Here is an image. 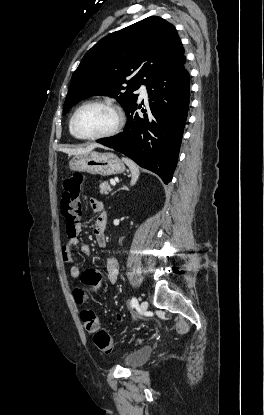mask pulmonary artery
<instances>
[{
    "mask_svg": "<svg viewBox=\"0 0 264 415\" xmlns=\"http://www.w3.org/2000/svg\"><path fill=\"white\" fill-rule=\"evenodd\" d=\"M138 92H139L140 98H145L147 96V89L144 85L140 86V88L138 89Z\"/></svg>",
    "mask_w": 264,
    "mask_h": 415,
    "instance_id": "e3ab8cb5",
    "label": "pulmonary artery"
}]
</instances>
